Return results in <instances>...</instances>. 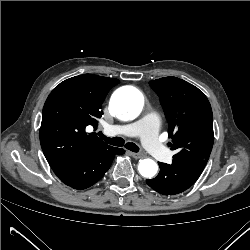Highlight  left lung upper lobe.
Masks as SVG:
<instances>
[{
	"instance_id": "left-lung-upper-lobe-1",
	"label": "left lung upper lobe",
	"mask_w": 250,
	"mask_h": 250,
	"mask_svg": "<svg viewBox=\"0 0 250 250\" xmlns=\"http://www.w3.org/2000/svg\"><path fill=\"white\" fill-rule=\"evenodd\" d=\"M168 121V133L175 151L173 162L209 159L213 142V114L207 97L197 87L176 78L153 80Z\"/></svg>"
}]
</instances>
